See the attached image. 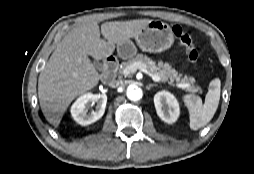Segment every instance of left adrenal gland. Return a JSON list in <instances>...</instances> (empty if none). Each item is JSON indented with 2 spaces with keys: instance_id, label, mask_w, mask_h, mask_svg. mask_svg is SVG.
Wrapping results in <instances>:
<instances>
[{
  "instance_id": "left-adrenal-gland-1",
  "label": "left adrenal gland",
  "mask_w": 254,
  "mask_h": 174,
  "mask_svg": "<svg viewBox=\"0 0 254 174\" xmlns=\"http://www.w3.org/2000/svg\"><path fill=\"white\" fill-rule=\"evenodd\" d=\"M154 86H157V85H156V84H149V85L146 86V89H147V90H150V88H151V87H154Z\"/></svg>"
}]
</instances>
